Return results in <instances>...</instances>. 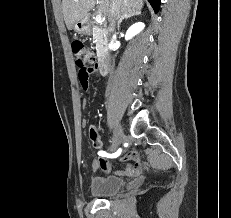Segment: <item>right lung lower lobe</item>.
<instances>
[{
  "instance_id": "right-lung-lower-lobe-1",
  "label": "right lung lower lobe",
  "mask_w": 231,
  "mask_h": 218,
  "mask_svg": "<svg viewBox=\"0 0 231 218\" xmlns=\"http://www.w3.org/2000/svg\"><path fill=\"white\" fill-rule=\"evenodd\" d=\"M148 1L150 2L151 6L153 7L155 13H157L159 10V5H160L161 0H148Z\"/></svg>"
}]
</instances>
